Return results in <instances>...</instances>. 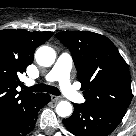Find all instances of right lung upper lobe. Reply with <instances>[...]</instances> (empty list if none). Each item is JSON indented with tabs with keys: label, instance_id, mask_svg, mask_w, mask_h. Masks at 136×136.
Instances as JSON below:
<instances>
[{
	"label": "right lung upper lobe",
	"instance_id": "obj_1",
	"mask_svg": "<svg viewBox=\"0 0 136 136\" xmlns=\"http://www.w3.org/2000/svg\"><path fill=\"white\" fill-rule=\"evenodd\" d=\"M52 34L23 29L0 31V125L18 117L37 95L16 90L21 84L18 75L26 72L35 49Z\"/></svg>",
	"mask_w": 136,
	"mask_h": 136
}]
</instances>
